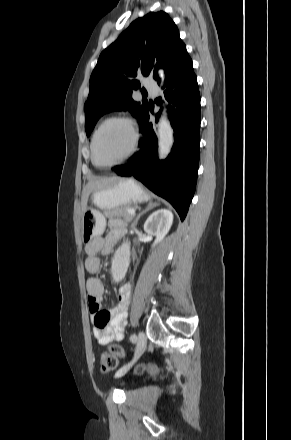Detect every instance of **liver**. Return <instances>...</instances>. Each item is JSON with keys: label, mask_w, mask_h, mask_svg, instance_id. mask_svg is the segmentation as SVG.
Returning <instances> with one entry per match:
<instances>
[{"label": "liver", "mask_w": 291, "mask_h": 440, "mask_svg": "<svg viewBox=\"0 0 291 440\" xmlns=\"http://www.w3.org/2000/svg\"><path fill=\"white\" fill-rule=\"evenodd\" d=\"M118 179H120V178L108 177V178H102V179H98V180L89 182L83 191L82 210L84 212L86 211L88 197L93 190L105 188V187L111 185L112 183L116 182Z\"/></svg>", "instance_id": "liver-1"}]
</instances>
